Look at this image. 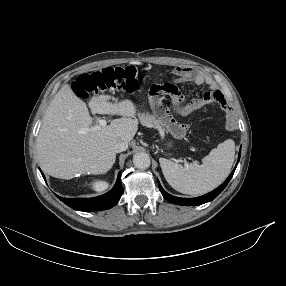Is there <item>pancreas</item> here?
<instances>
[{
	"mask_svg": "<svg viewBox=\"0 0 286 286\" xmlns=\"http://www.w3.org/2000/svg\"><path fill=\"white\" fill-rule=\"evenodd\" d=\"M140 121L143 126L164 130L161 120L156 119L154 116L142 114L140 115Z\"/></svg>",
	"mask_w": 286,
	"mask_h": 286,
	"instance_id": "1",
	"label": "pancreas"
}]
</instances>
